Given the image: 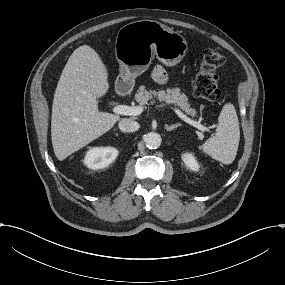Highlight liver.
Here are the masks:
<instances>
[{
  "instance_id": "obj_1",
  "label": "liver",
  "mask_w": 285,
  "mask_h": 285,
  "mask_svg": "<svg viewBox=\"0 0 285 285\" xmlns=\"http://www.w3.org/2000/svg\"><path fill=\"white\" fill-rule=\"evenodd\" d=\"M107 79V69L94 49L83 45L74 50L52 105L51 139L58 160L97 139L120 120L119 115L98 110V98L109 89Z\"/></svg>"
}]
</instances>
